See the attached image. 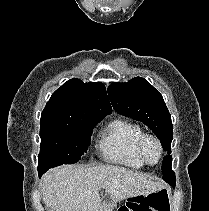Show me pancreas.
Returning a JSON list of instances; mask_svg holds the SVG:
<instances>
[{
  "label": "pancreas",
  "instance_id": "obj_1",
  "mask_svg": "<svg viewBox=\"0 0 209 211\" xmlns=\"http://www.w3.org/2000/svg\"><path fill=\"white\" fill-rule=\"evenodd\" d=\"M106 208H109V209H111V208H113L114 207V204H107V205H104ZM109 211H111V210H109Z\"/></svg>",
  "mask_w": 209,
  "mask_h": 211
}]
</instances>
